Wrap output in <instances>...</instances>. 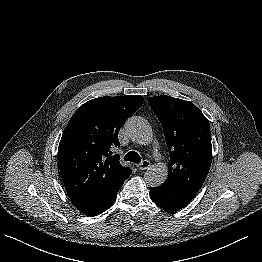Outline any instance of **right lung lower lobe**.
<instances>
[{
  "label": "right lung lower lobe",
  "instance_id": "obj_1",
  "mask_svg": "<svg viewBox=\"0 0 262 262\" xmlns=\"http://www.w3.org/2000/svg\"><path fill=\"white\" fill-rule=\"evenodd\" d=\"M117 193L110 196L109 199L102 202H76L72 201L73 205L86 216H96L106 211L115 201Z\"/></svg>",
  "mask_w": 262,
  "mask_h": 262
}]
</instances>
